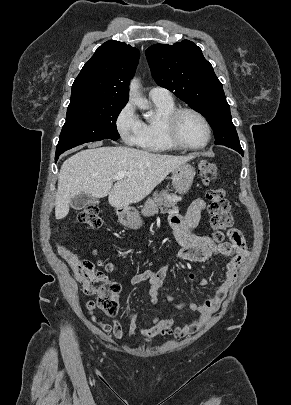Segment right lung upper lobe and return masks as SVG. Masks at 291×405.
<instances>
[{
	"label": "right lung upper lobe",
	"instance_id": "right-lung-upper-lobe-1",
	"mask_svg": "<svg viewBox=\"0 0 291 405\" xmlns=\"http://www.w3.org/2000/svg\"><path fill=\"white\" fill-rule=\"evenodd\" d=\"M138 49L110 40L97 48L72 85L69 105L85 102H128V83L138 63Z\"/></svg>",
	"mask_w": 291,
	"mask_h": 405
}]
</instances>
